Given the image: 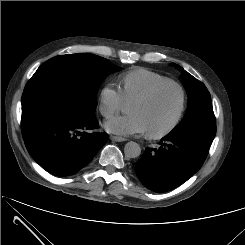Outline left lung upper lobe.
I'll return each instance as SVG.
<instances>
[{"mask_svg":"<svg viewBox=\"0 0 245 245\" xmlns=\"http://www.w3.org/2000/svg\"><path fill=\"white\" fill-rule=\"evenodd\" d=\"M181 72V78L188 94L187 112L168 135L191 136L211 145L216 134V120L211 104L210 93L206 86L186 72L182 67L173 64Z\"/></svg>","mask_w":245,"mask_h":245,"instance_id":"left-lung-upper-lobe-1","label":"left lung upper lobe"}]
</instances>
